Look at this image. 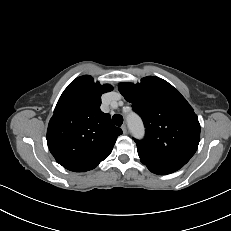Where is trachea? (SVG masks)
Wrapping results in <instances>:
<instances>
[{
    "label": "trachea",
    "mask_w": 231,
    "mask_h": 231,
    "mask_svg": "<svg viewBox=\"0 0 231 231\" xmlns=\"http://www.w3.org/2000/svg\"><path fill=\"white\" fill-rule=\"evenodd\" d=\"M112 121L116 126H121L123 124V117L120 114H115L112 117Z\"/></svg>",
    "instance_id": "1"
}]
</instances>
